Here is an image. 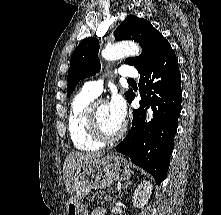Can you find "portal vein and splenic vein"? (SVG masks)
<instances>
[{
	"mask_svg": "<svg viewBox=\"0 0 221 215\" xmlns=\"http://www.w3.org/2000/svg\"><path fill=\"white\" fill-rule=\"evenodd\" d=\"M105 199L108 200V199H111V197L110 196H106Z\"/></svg>",
	"mask_w": 221,
	"mask_h": 215,
	"instance_id": "obj_1",
	"label": "portal vein and splenic vein"
}]
</instances>
